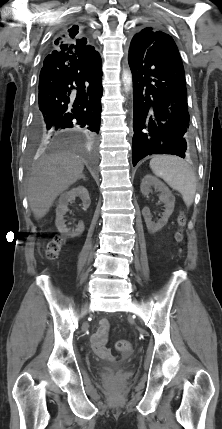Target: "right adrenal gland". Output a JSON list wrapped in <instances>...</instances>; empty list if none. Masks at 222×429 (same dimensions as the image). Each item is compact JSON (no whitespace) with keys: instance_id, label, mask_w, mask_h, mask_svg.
Segmentation results:
<instances>
[{"instance_id":"right-adrenal-gland-1","label":"right adrenal gland","mask_w":222,"mask_h":429,"mask_svg":"<svg viewBox=\"0 0 222 429\" xmlns=\"http://www.w3.org/2000/svg\"><path fill=\"white\" fill-rule=\"evenodd\" d=\"M84 181H86L87 179H86V177L83 175L82 177H81Z\"/></svg>"}]
</instances>
